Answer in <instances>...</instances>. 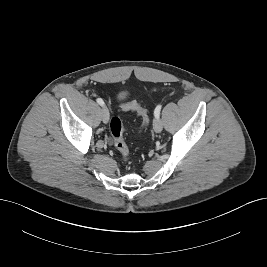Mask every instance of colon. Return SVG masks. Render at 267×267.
<instances>
[{
    "label": "colon",
    "mask_w": 267,
    "mask_h": 267,
    "mask_svg": "<svg viewBox=\"0 0 267 267\" xmlns=\"http://www.w3.org/2000/svg\"><path fill=\"white\" fill-rule=\"evenodd\" d=\"M121 108L123 110H130L135 112L142 119V127L140 131H143L148 126V113L136 102H125L121 105ZM109 128L115 148L118 150L123 160L127 161L130 157V150L123 139L124 127L121 119L119 117H113L110 121Z\"/></svg>",
    "instance_id": "1"
}]
</instances>
